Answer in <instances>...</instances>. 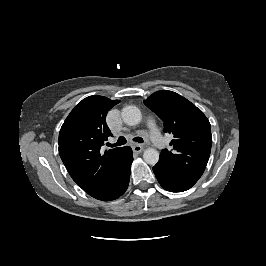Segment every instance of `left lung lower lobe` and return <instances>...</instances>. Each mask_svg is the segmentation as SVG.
<instances>
[{
    "label": "left lung lower lobe",
    "mask_w": 266,
    "mask_h": 266,
    "mask_svg": "<svg viewBox=\"0 0 266 266\" xmlns=\"http://www.w3.org/2000/svg\"><path fill=\"white\" fill-rule=\"evenodd\" d=\"M153 171L160 185L170 192L186 191L200 178L197 176H182L176 174L159 162L153 167Z\"/></svg>",
    "instance_id": "left-lung-lower-lobe-1"
}]
</instances>
